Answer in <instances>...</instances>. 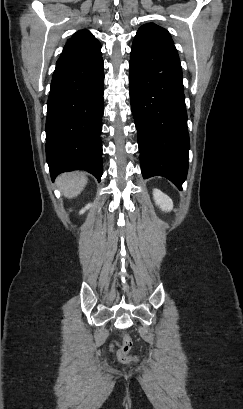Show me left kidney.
Listing matches in <instances>:
<instances>
[{
	"mask_svg": "<svg viewBox=\"0 0 243 409\" xmlns=\"http://www.w3.org/2000/svg\"><path fill=\"white\" fill-rule=\"evenodd\" d=\"M153 198L155 203L163 210V211H170L173 207L172 200L163 192L158 189L153 190Z\"/></svg>",
	"mask_w": 243,
	"mask_h": 409,
	"instance_id": "5707ae66",
	"label": "left kidney"
}]
</instances>
